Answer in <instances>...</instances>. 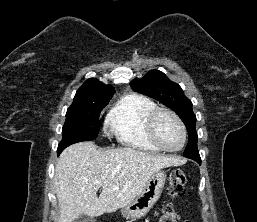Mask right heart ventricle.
Segmentation results:
<instances>
[{"label": "right heart ventricle", "instance_id": "e07e8e85", "mask_svg": "<svg viewBox=\"0 0 257 222\" xmlns=\"http://www.w3.org/2000/svg\"><path fill=\"white\" fill-rule=\"evenodd\" d=\"M158 108L150 98L128 94L109 110L106 124L117 141L128 148L146 152L161 150L150 140L146 131L147 118Z\"/></svg>", "mask_w": 257, "mask_h": 222}]
</instances>
